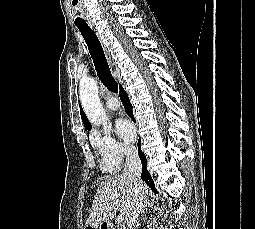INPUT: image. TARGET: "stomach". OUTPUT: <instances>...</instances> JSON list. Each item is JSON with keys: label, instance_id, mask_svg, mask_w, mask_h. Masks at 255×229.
Returning <instances> with one entry per match:
<instances>
[{"label": "stomach", "instance_id": "obj_1", "mask_svg": "<svg viewBox=\"0 0 255 229\" xmlns=\"http://www.w3.org/2000/svg\"><path fill=\"white\" fill-rule=\"evenodd\" d=\"M86 229H101V225H98V226H86Z\"/></svg>", "mask_w": 255, "mask_h": 229}]
</instances>
